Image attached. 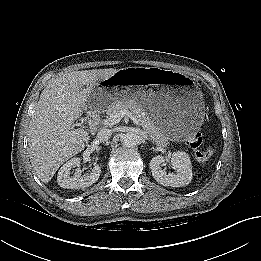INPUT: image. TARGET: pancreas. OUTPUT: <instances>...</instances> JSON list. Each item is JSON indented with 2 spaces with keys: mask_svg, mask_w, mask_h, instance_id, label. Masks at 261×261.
<instances>
[{
  "mask_svg": "<svg viewBox=\"0 0 261 261\" xmlns=\"http://www.w3.org/2000/svg\"><path fill=\"white\" fill-rule=\"evenodd\" d=\"M118 110L130 111L137 118L143 129L148 133L149 138L153 143L158 146L168 144V137L159 130L153 121H151L150 116L142 105L138 104L134 100L125 102L116 101L108 106L105 113L108 117H110Z\"/></svg>",
  "mask_w": 261,
  "mask_h": 261,
  "instance_id": "cf45deb5",
  "label": "pancreas"
}]
</instances>
